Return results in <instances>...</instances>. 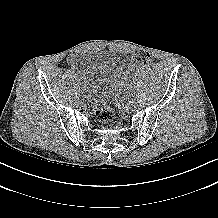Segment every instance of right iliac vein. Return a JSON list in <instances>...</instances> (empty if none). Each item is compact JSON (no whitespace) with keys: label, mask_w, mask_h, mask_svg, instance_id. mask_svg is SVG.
Wrapping results in <instances>:
<instances>
[{"label":"right iliac vein","mask_w":218,"mask_h":218,"mask_svg":"<svg viewBox=\"0 0 218 218\" xmlns=\"http://www.w3.org/2000/svg\"><path fill=\"white\" fill-rule=\"evenodd\" d=\"M79 88H80V91H81V92H84V91H85V87H84V86L81 85Z\"/></svg>","instance_id":"obj_1"}]
</instances>
